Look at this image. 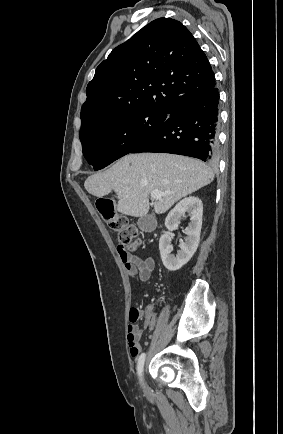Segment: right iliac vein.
<instances>
[{
  "label": "right iliac vein",
  "instance_id": "63e3f726",
  "mask_svg": "<svg viewBox=\"0 0 283 434\" xmlns=\"http://www.w3.org/2000/svg\"><path fill=\"white\" fill-rule=\"evenodd\" d=\"M143 386H144V389L147 390V385L145 382L143 383Z\"/></svg>",
  "mask_w": 283,
  "mask_h": 434
}]
</instances>
